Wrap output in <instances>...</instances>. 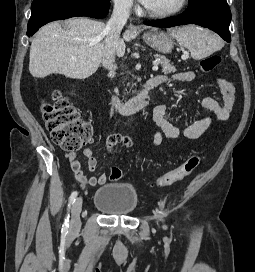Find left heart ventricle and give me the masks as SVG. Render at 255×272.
Returning <instances> with one entry per match:
<instances>
[{
    "mask_svg": "<svg viewBox=\"0 0 255 272\" xmlns=\"http://www.w3.org/2000/svg\"><path fill=\"white\" fill-rule=\"evenodd\" d=\"M180 0H150L146 6L147 9L153 12H160L173 8L179 3Z\"/></svg>",
    "mask_w": 255,
    "mask_h": 272,
    "instance_id": "obj_1",
    "label": "left heart ventricle"
}]
</instances>
